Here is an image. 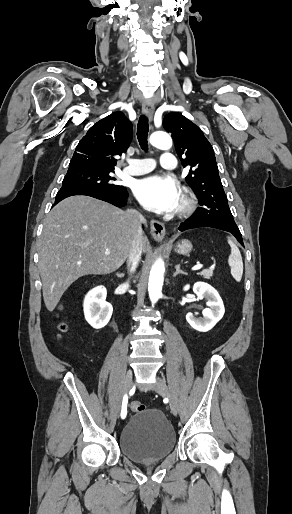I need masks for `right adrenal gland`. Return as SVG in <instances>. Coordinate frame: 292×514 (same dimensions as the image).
<instances>
[{
  "label": "right adrenal gland",
  "instance_id": "obj_1",
  "mask_svg": "<svg viewBox=\"0 0 292 514\" xmlns=\"http://www.w3.org/2000/svg\"><path fill=\"white\" fill-rule=\"evenodd\" d=\"M118 278H124L125 274H117Z\"/></svg>",
  "mask_w": 292,
  "mask_h": 514
}]
</instances>
